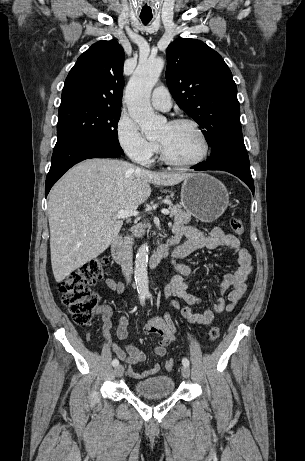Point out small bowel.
<instances>
[{
    "label": "small bowel",
    "mask_w": 305,
    "mask_h": 461,
    "mask_svg": "<svg viewBox=\"0 0 305 461\" xmlns=\"http://www.w3.org/2000/svg\"><path fill=\"white\" fill-rule=\"evenodd\" d=\"M173 234L174 237L179 239L182 236L187 238L186 242L177 245L173 249L172 263L176 274L164 290L165 299L173 296L175 300L170 302L169 308L162 318L155 315L145 326L147 334H154L158 338L154 352L159 357L166 355L167 347L176 339L177 327L172 318L171 310H180L182 316L192 324L209 325L217 315H222L235 309L247 290L246 279L252 270L250 253L241 246L237 237L225 233L219 227H214L210 232L206 233L194 226L175 223ZM219 248L230 249L232 255L237 259L236 269L232 273L227 274L221 284V294L231 289L228 295V303L221 296L212 307L202 312H194L192 307L198 304L200 299L189 292L188 284L185 281V278L192 274V270L187 265L179 263L178 259L184 258L200 249L213 250ZM106 285L118 293H123L124 291V286L112 278L106 279ZM99 312L102 315L104 337L110 341V346L118 359L129 364L128 375L140 380L151 377L159 372L161 366L158 362L153 363L151 368L145 371H136L132 367L135 364L144 362L147 356L137 346L124 342L127 337L128 317L126 315L121 316L115 329L118 340L124 342V349H122L116 342L111 340V330L113 327L111 308L103 305L99 308Z\"/></svg>",
    "instance_id": "c3829d8e"
}]
</instances>
